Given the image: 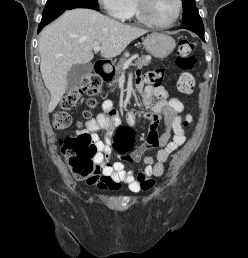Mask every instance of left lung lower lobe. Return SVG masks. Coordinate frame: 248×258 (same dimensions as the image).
Instances as JSON below:
<instances>
[{"mask_svg":"<svg viewBox=\"0 0 248 258\" xmlns=\"http://www.w3.org/2000/svg\"><path fill=\"white\" fill-rule=\"evenodd\" d=\"M190 31H193L195 32L196 34H198V36L203 40L205 41L204 39V26L203 24L201 25H190V26H187V27H184Z\"/></svg>","mask_w":248,"mask_h":258,"instance_id":"0a47b994","label":"left lung lower lobe"}]
</instances>
